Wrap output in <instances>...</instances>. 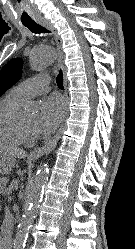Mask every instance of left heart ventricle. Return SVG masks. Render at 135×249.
I'll return each mask as SVG.
<instances>
[{"instance_id":"left-heart-ventricle-1","label":"left heart ventricle","mask_w":135,"mask_h":249,"mask_svg":"<svg viewBox=\"0 0 135 249\" xmlns=\"http://www.w3.org/2000/svg\"><path fill=\"white\" fill-rule=\"evenodd\" d=\"M20 120L23 126L30 132L35 133V115L30 113H21Z\"/></svg>"}]
</instances>
